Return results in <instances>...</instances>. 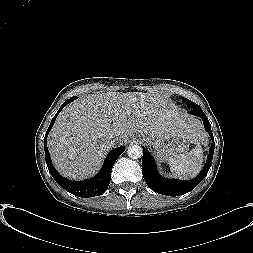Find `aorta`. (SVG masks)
Listing matches in <instances>:
<instances>
[{"mask_svg": "<svg viewBox=\"0 0 253 253\" xmlns=\"http://www.w3.org/2000/svg\"><path fill=\"white\" fill-rule=\"evenodd\" d=\"M127 154L132 159H138L142 157L143 149L139 145H131L128 147Z\"/></svg>", "mask_w": 253, "mask_h": 253, "instance_id": "1", "label": "aorta"}]
</instances>
